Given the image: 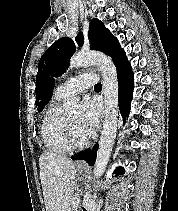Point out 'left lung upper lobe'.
Masks as SVG:
<instances>
[{
	"mask_svg": "<svg viewBox=\"0 0 178 211\" xmlns=\"http://www.w3.org/2000/svg\"><path fill=\"white\" fill-rule=\"evenodd\" d=\"M88 37L91 49L109 55L115 64L125 54L116 37L98 19H93L90 22ZM75 40L79 46H82L84 42L83 34L79 33ZM75 50L74 41L63 37L55 41L42 55L38 63V73L36 75V104L45 83L48 80L53 81V77H58L66 71L69 59Z\"/></svg>",
	"mask_w": 178,
	"mask_h": 211,
	"instance_id": "left-lung-upper-lobe-1",
	"label": "left lung upper lobe"
}]
</instances>
